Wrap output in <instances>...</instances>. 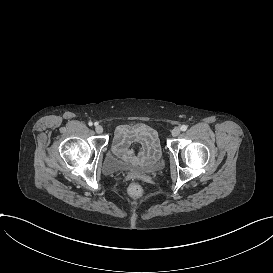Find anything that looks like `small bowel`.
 Returning a JSON list of instances; mask_svg holds the SVG:
<instances>
[{
  "instance_id": "small-bowel-1",
  "label": "small bowel",
  "mask_w": 273,
  "mask_h": 273,
  "mask_svg": "<svg viewBox=\"0 0 273 273\" xmlns=\"http://www.w3.org/2000/svg\"><path fill=\"white\" fill-rule=\"evenodd\" d=\"M138 141L142 150L138 156H130L127 148ZM113 152L119 158L129 162L134 168L143 163L154 165L160 157V148L155 133L143 123H127L117 127Z\"/></svg>"
}]
</instances>
